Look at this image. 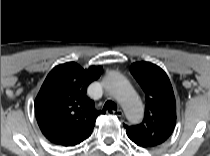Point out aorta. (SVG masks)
Masks as SVG:
<instances>
[{"instance_id":"1","label":"aorta","mask_w":210,"mask_h":156,"mask_svg":"<svg viewBox=\"0 0 210 156\" xmlns=\"http://www.w3.org/2000/svg\"><path fill=\"white\" fill-rule=\"evenodd\" d=\"M107 84L111 93L122 105L127 118L134 123L141 121L144 107L131 84L117 73L108 76Z\"/></svg>"}]
</instances>
